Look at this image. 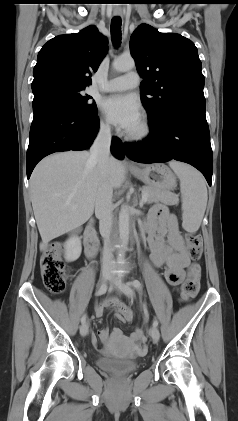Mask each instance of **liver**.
<instances>
[{
	"mask_svg": "<svg viewBox=\"0 0 238 421\" xmlns=\"http://www.w3.org/2000/svg\"><path fill=\"white\" fill-rule=\"evenodd\" d=\"M87 151H67L44 158L30 178L31 202L42 238L40 250L48 243L89 220L102 177L97 165L89 162ZM125 179V167L109 158L106 182L119 188Z\"/></svg>",
	"mask_w": 238,
	"mask_h": 421,
	"instance_id": "liver-1",
	"label": "liver"
}]
</instances>
